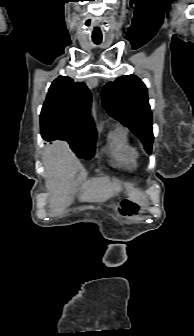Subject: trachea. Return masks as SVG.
I'll return each mask as SVG.
<instances>
[{
  "label": "trachea",
  "mask_w": 194,
  "mask_h": 336,
  "mask_svg": "<svg viewBox=\"0 0 194 336\" xmlns=\"http://www.w3.org/2000/svg\"><path fill=\"white\" fill-rule=\"evenodd\" d=\"M101 41H94V44L99 45Z\"/></svg>",
  "instance_id": "1"
}]
</instances>
